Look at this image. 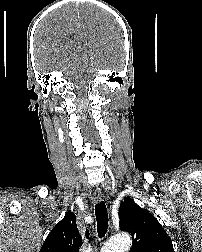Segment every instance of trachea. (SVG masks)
Wrapping results in <instances>:
<instances>
[{
	"instance_id": "trachea-1",
	"label": "trachea",
	"mask_w": 202,
	"mask_h": 252,
	"mask_svg": "<svg viewBox=\"0 0 202 252\" xmlns=\"http://www.w3.org/2000/svg\"><path fill=\"white\" fill-rule=\"evenodd\" d=\"M97 232L100 238L104 237L108 229V213L103 201L95 205Z\"/></svg>"
}]
</instances>
